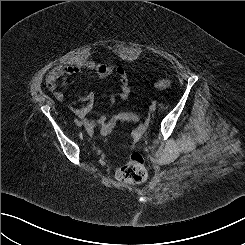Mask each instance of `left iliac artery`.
Instances as JSON below:
<instances>
[{
  "mask_svg": "<svg viewBox=\"0 0 245 245\" xmlns=\"http://www.w3.org/2000/svg\"><path fill=\"white\" fill-rule=\"evenodd\" d=\"M152 104H153V105H156V101H153Z\"/></svg>",
  "mask_w": 245,
  "mask_h": 245,
  "instance_id": "1",
  "label": "left iliac artery"
}]
</instances>
